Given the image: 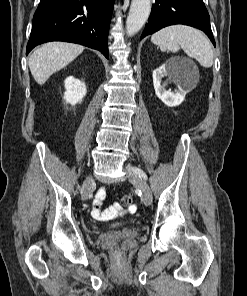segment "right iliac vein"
<instances>
[{
	"label": "right iliac vein",
	"instance_id": "obj_1",
	"mask_svg": "<svg viewBox=\"0 0 247 296\" xmlns=\"http://www.w3.org/2000/svg\"><path fill=\"white\" fill-rule=\"evenodd\" d=\"M94 181L91 176H88L83 184V200H86L88 198V195L90 194L91 188L93 187Z\"/></svg>",
	"mask_w": 247,
	"mask_h": 296
}]
</instances>
